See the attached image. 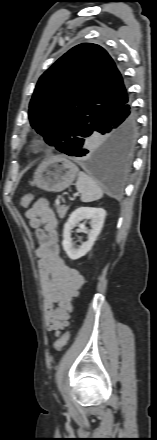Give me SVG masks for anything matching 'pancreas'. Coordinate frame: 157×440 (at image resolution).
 <instances>
[{"label":"pancreas","mask_w":157,"mask_h":440,"mask_svg":"<svg viewBox=\"0 0 157 440\" xmlns=\"http://www.w3.org/2000/svg\"><path fill=\"white\" fill-rule=\"evenodd\" d=\"M56 210H57L59 218L63 219L68 211V207H65L64 205H62V206L57 205Z\"/></svg>","instance_id":"1"}]
</instances>
